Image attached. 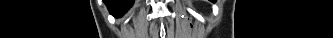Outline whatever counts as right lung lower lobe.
Returning <instances> with one entry per match:
<instances>
[{
	"label": "right lung lower lobe",
	"mask_w": 333,
	"mask_h": 38,
	"mask_svg": "<svg viewBox=\"0 0 333 38\" xmlns=\"http://www.w3.org/2000/svg\"><path fill=\"white\" fill-rule=\"evenodd\" d=\"M125 3H128V4H130V3H132V1H127V2L123 1V2H122V5H123V6H125ZM119 5H121V3H120V2H119Z\"/></svg>",
	"instance_id": "right-lung-lower-lobe-1"
}]
</instances>
